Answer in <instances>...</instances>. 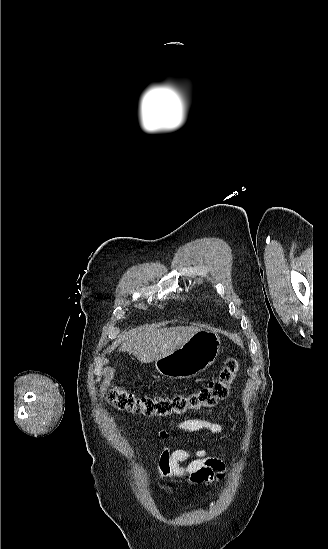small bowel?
I'll return each mask as SVG.
<instances>
[{
	"mask_svg": "<svg viewBox=\"0 0 328 549\" xmlns=\"http://www.w3.org/2000/svg\"><path fill=\"white\" fill-rule=\"evenodd\" d=\"M209 412H217L208 409ZM171 426L185 432H198L206 430L212 434L223 433V427L218 422L204 419L190 418L180 422L171 421ZM166 431L159 432V439L168 437ZM150 462L154 465L161 477L170 479H186L193 484L209 483L215 477L220 478L224 469V463L213 456L206 449L190 451L186 449L172 450L163 445L157 454L151 448H146Z\"/></svg>",
	"mask_w": 328,
	"mask_h": 549,
	"instance_id": "1",
	"label": "small bowel"
}]
</instances>
